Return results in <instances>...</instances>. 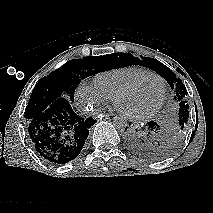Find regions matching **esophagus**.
Returning <instances> with one entry per match:
<instances>
[{
  "instance_id": "esophagus-1",
  "label": "esophagus",
  "mask_w": 213,
  "mask_h": 213,
  "mask_svg": "<svg viewBox=\"0 0 213 213\" xmlns=\"http://www.w3.org/2000/svg\"><path fill=\"white\" fill-rule=\"evenodd\" d=\"M113 116H115V114H108V113L102 114V117L105 118V119H108V118L113 117Z\"/></svg>"
}]
</instances>
